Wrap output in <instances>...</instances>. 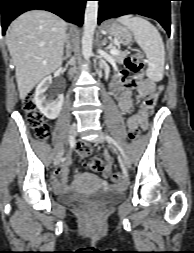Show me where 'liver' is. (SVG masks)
<instances>
[{"mask_svg":"<svg viewBox=\"0 0 194 253\" xmlns=\"http://www.w3.org/2000/svg\"><path fill=\"white\" fill-rule=\"evenodd\" d=\"M67 23L48 11L33 10L15 19L6 44L15 65L20 99L63 62Z\"/></svg>","mask_w":194,"mask_h":253,"instance_id":"6515ba94","label":"liver"}]
</instances>
